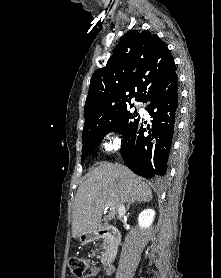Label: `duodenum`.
Returning a JSON list of instances; mask_svg holds the SVG:
<instances>
[{
    "label": "duodenum",
    "instance_id": "410a0bca",
    "mask_svg": "<svg viewBox=\"0 0 221 278\" xmlns=\"http://www.w3.org/2000/svg\"><path fill=\"white\" fill-rule=\"evenodd\" d=\"M98 238L105 239L108 244L105 252L101 256V263L108 267L114 260L120 243L119 231L111 226L101 227L97 231L89 232L84 236L85 241H92Z\"/></svg>",
    "mask_w": 221,
    "mask_h": 278
}]
</instances>
